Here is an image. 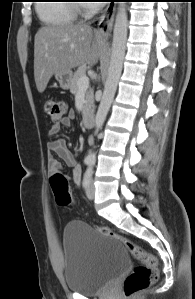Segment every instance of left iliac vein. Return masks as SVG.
I'll list each match as a JSON object with an SVG mask.
<instances>
[{
    "mask_svg": "<svg viewBox=\"0 0 195 299\" xmlns=\"http://www.w3.org/2000/svg\"><path fill=\"white\" fill-rule=\"evenodd\" d=\"M86 195L90 200H93L95 197V185H94L93 180H91V179L86 188Z\"/></svg>",
    "mask_w": 195,
    "mask_h": 299,
    "instance_id": "obj_1",
    "label": "left iliac vein"
}]
</instances>
